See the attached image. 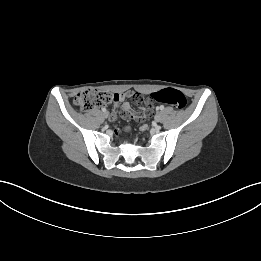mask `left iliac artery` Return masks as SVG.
<instances>
[{
  "label": "left iliac artery",
  "mask_w": 261,
  "mask_h": 261,
  "mask_svg": "<svg viewBox=\"0 0 261 261\" xmlns=\"http://www.w3.org/2000/svg\"><path fill=\"white\" fill-rule=\"evenodd\" d=\"M158 109L163 110V109H164V106L161 105L160 107H158Z\"/></svg>",
  "instance_id": "obj_1"
}]
</instances>
